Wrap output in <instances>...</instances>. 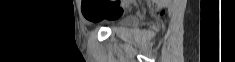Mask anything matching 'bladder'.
<instances>
[{
	"label": "bladder",
	"mask_w": 235,
	"mask_h": 62,
	"mask_svg": "<svg viewBox=\"0 0 235 62\" xmlns=\"http://www.w3.org/2000/svg\"><path fill=\"white\" fill-rule=\"evenodd\" d=\"M134 22H135V17L132 16V15H127V16L122 17L119 20L118 24L119 25H130V24H132Z\"/></svg>",
	"instance_id": "1"
}]
</instances>
